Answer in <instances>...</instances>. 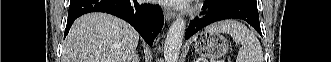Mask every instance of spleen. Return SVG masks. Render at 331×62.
<instances>
[{
	"label": "spleen",
	"mask_w": 331,
	"mask_h": 62,
	"mask_svg": "<svg viewBox=\"0 0 331 62\" xmlns=\"http://www.w3.org/2000/svg\"><path fill=\"white\" fill-rule=\"evenodd\" d=\"M209 33L229 34L236 44H241L237 62H262V48L254 34L242 23L225 20L212 24L205 29Z\"/></svg>",
	"instance_id": "obj_1"
}]
</instances>
